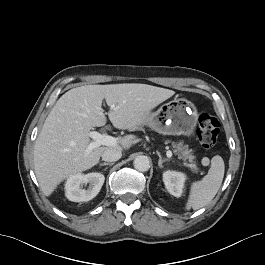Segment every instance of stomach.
<instances>
[{
	"label": "stomach",
	"mask_w": 265,
	"mask_h": 265,
	"mask_svg": "<svg viewBox=\"0 0 265 265\" xmlns=\"http://www.w3.org/2000/svg\"><path fill=\"white\" fill-rule=\"evenodd\" d=\"M198 121L195 105L184 99H174L163 104L156 112H150L144 124L163 135L193 134Z\"/></svg>",
	"instance_id": "0dacf381"
}]
</instances>
